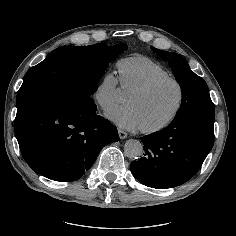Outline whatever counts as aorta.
Wrapping results in <instances>:
<instances>
[{"label":"aorta","instance_id":"1","mask_svg":"<svg viewBox=\"0 0 236 236\" xmlns=\"http://www.w3.org/2000/svg\"><path fill=\"white\" fill-rule=\"evenodd\" d=\"M143 145L139 140L129 139L124 145V154L132 160L139 159L143 155Z\"/></svg>","mask_w":236,"mask_h":236}]
</instances>
